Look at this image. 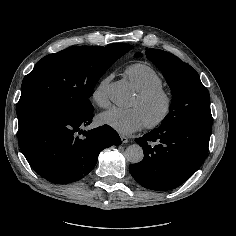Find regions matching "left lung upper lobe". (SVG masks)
Returning <instances> with one entry per match:
<instances>
[{"label": "left lung upper lobe", "mask_w": 236, "mask_h": 236, "mask_svg": "<svg viewBox=\"0 0 236 236\" xmlns=\"http://www.w3.org/2000/svg\"><path fill=\"white\" fill-rule=\"evenodd\" d=\"M146 57L162 71L172 91L170 111L160 127L184 123L212 125L209 92L198 73L169 52L148 49Z\"/></svg>", "instance_id": "1"}]
</instances>
